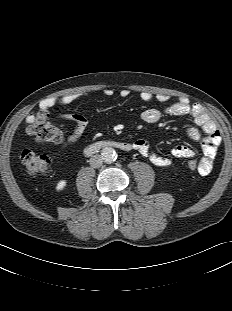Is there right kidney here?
<instances>
[{"label": "right kidney", "instance_id": "ca27d5eb", "mask_svg": "<svg viewBox=\"0 0 232 311\" xmlns=\"http://www.w3.org/2000/svg\"><path fill=\"white\" fill-rule=\"evenodd\" d=\"M66 184H67L66 180H60V181L57 183V185H56V190H57V191L63 190V189L65 188Z\"/></svg>", "mask_w": 232, "mask_h": 311}]
</instances>
